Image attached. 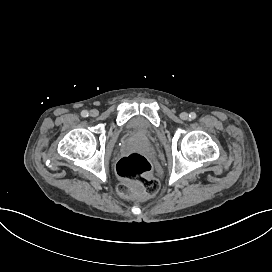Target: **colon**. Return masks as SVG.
Returning <instances> with one entry per match:
<instances>
[{"label":"colon","instance_id":"obj_1","mask_svg":"<svg viewBox=\"0 0 272 272\" xmlns=\"http://www.w3.org/2000/svg\"><path fill=\"white\" fill-rule=\"evenodd\" d=\"M151 168L149 160L140 153L134 152L122 157L116 164V171L125 182L118 186V192L127 197L137 198L156 195L160 183L152 176Z\"/></svg>","mask_w":272,"mask_h":272}]
</instances>
